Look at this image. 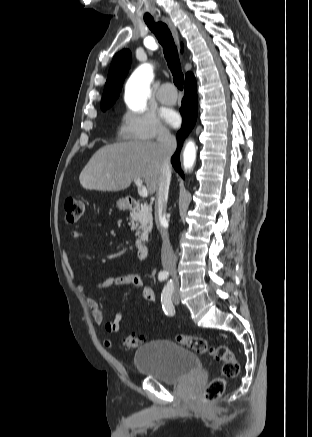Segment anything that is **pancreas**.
Wrapping results in <instances>:
<instances>
[{"label": "pancreas", "instance_id": "pancreas-1", "mask_svg": "<svg viewBox=\"0 0 312 437\" xmlns=\"http://www.w3.org/2000/svg\"><path fill=\"white\" fill-rule=\"evenodd\" d=\"M131 230H136L137 244L148 240V234L153 225L152 209L144 203L140 208L130 213ZM141 230V231H140Z\"/></svg>", "mask_w": 312, "mask_h": 437}]
</instances>
